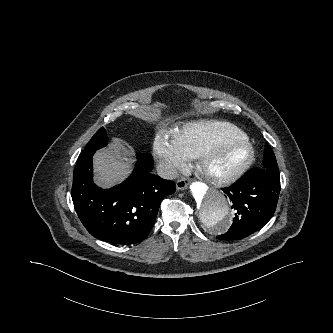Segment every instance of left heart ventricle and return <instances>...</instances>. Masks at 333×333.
Here are the masks:
<instances>
[{
    "label": "left heart ventricle",
    "instance_id": "b2bd125f",
    "mask_svg": "<svg viewBox=\"0 0 333 333\" xmlns=\"http://www.w3.org/2000/svg\"><path fill=\"white\" fill-rule=\"evenodd\" d=\"M245 150L240 143H231L221 147L212 157L209 169L223 173L234 168L244 157Z\"/></svg>",
    "mask_w": 333,
    "mask_h": 333
}]
</instances>
